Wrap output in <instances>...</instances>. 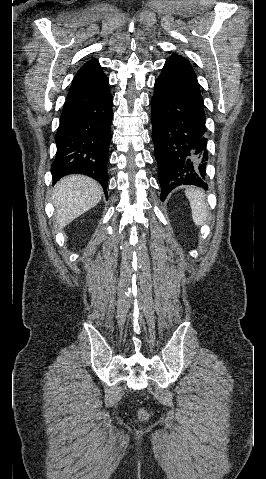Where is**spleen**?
Wrapping results in <instances>:
<instances>
[{"label":"spleen","instance_id":"spleen-1","mask_svg":"<svg viewBox=\"0 0 266 479\" xmlns=\"http://www.w3.org/2000/svg\"><path fill=\"white\" fill-rule=\"evenodd\" d=\"M185 195L189 200L193 221L196 226H201L208 216L206 197L204 192L196 187H188Z\"/></svg>","mask_w":266,"mask_h":479}]
</instances>
